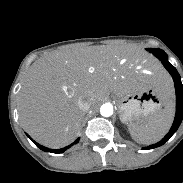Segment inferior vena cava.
<instances>
[{
	"instance_id": "obj_1",
	"label": "inferior vena cava",
	"mask_w": 183,
	"mask_h": 183,
	"mask_svg": "<svg viewBox=\"0 0 183 183\" xmlns=\"http://www.w3.org/2000/svg\"><path fill=\"white\" fill-rule=\"evenodd\" d=\"M78 105H79L80 109L83 110L84 112H87L91 107L90 101L82 99V98L79 99Z\"/></svg>"
}]
</instances>
